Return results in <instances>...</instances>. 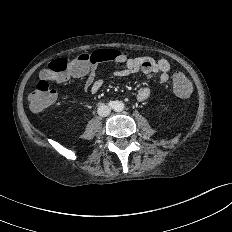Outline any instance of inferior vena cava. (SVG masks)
I'll return each instance as SVG.
<instances>
[{
    "mask_svg": "<svg viewBox=\"0 0 232 232\" xmlns=\"http://www.w3.org/2000/svg\"><path fill=\"white\" fill-rule=\"evenodd\" d=\"M98 115L102 117H106L110 114L111 109L109 106L101 104L97 109Z\"/></svg>",
    "mask_w": 232,
    "mask_h": 232,
    "instance_id": "inferior-vena-cava-1",
    "label": "inferior vena cava"
}]
</instances>
